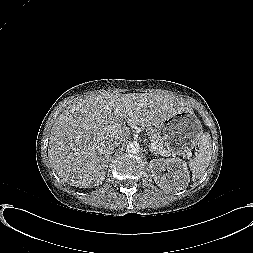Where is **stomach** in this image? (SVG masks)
<instances>
[{
    "mask_svg": "<svg viewBox=\"0 0 253 253\" xmlns=\"http://www.w3.org/2000/svg\"><path fill=\"white\" fill-rule=\"evenodd\" d=\"M156 129L164 147L177 154L192 150L198 145L203 134L201 121L192 110L175 113Z\"/></svg>",
    "mask_w": 253,
    "mask_h": 253,
    "instance_id": "stomach-1",
    "label": "stomach"
}]
</instances>
